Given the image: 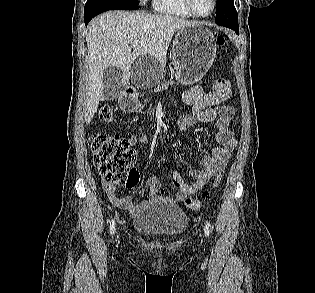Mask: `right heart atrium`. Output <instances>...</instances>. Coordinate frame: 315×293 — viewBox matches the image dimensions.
Here are the masks:
<instances>
[{"label": "right heart atrium", "mask_w": 315, "mask_h": 293, "mask_svg": "<svg viewBox=\"0 0 315 293\" xmlns=\"http://www.w3.org/2000/svg\"><path fill=\"white\" fill-rule=\"evenodd\" d=\"M143 4L149 3L151 0H140Z\"/></svg>", "instance_id": "d8ad5b80"}]
</instances>
